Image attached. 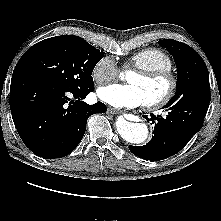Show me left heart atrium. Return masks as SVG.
<instances>
[{
    "label": "left heart atrium",
    "mask_w": 221,
    "mask_h": 221,
    "mask_svg": "<svg viewBox=\"0 0 221 221\" xmlns=\"http://www.w3.org/2000/svg\"><path fill=\"white\" fill-rule=\"evenodd\" d=\"M100 100L118 108H134L145 104L140 88L134 84H110L97 91Z\"/></svg>",
    "instance_id": "obj_1"
}]
</instances>
